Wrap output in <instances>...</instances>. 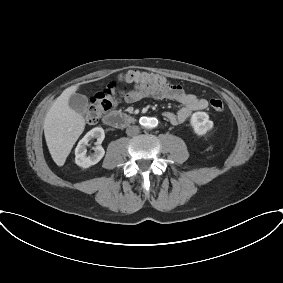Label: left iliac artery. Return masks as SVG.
Segmentation results:
<instances>
[{
	"mask_svg": "<svg viewBox=\"0 0 283 283\" xmlns=\"http://www.w3.org/2000/svg\"><path fill=\"white\" fill-rule=\"evenodd\" d=\"M156 121H157V120H156L155 118H152V119L150 120V124H151V125H156Z\"/></svg>",
	"mask_w": 283,
	"mask_h": 283,
	"instance_id": "obj_1",
	"label": "left iliac artery"
}]
</instances>
